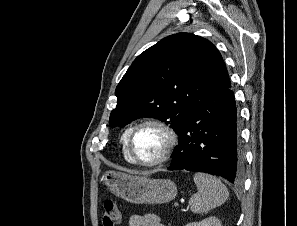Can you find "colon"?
I'll return each mask as SVG.
<instances>
[{
	"mask_svg": "<svg viewBox=\"0 0 297 226\" xmlns=\"http://www.w3.org/2000/svg\"><path fill=\"white\" fill-rule=\"evenodd\" d=\"M120 213L116 203L106 200L102 208V221L104 226H118L120 223Z\"/></svg>",
	"mask_w": 297,
	"mask_h": 226,
	"instance_id": "5ec220e1",
	"label": "colon"
}]
</instances>
